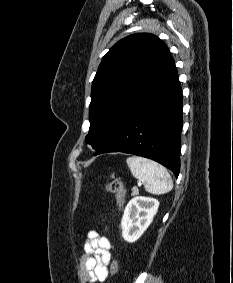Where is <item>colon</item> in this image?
<instances>
[{"label": "colon", "instance_id": "5ec220e1", "mask_svg": "<svg viewBox=\"0 0 233 283\" xmlns=\"http://www.w3.org/2000/svg\"><path fill=\"white\" fill-rule=\"evenodd\" d=\"M104 190L107 193H111L115 196L118 207L123 205L126 196V188L121 180L116 179L106 183ZM110 270L114 276L118 273L119 266L116 260L111 261Z\"/></svg>", "mask_w": 233, "mask_h": 283}]
</instances>
